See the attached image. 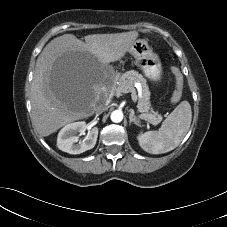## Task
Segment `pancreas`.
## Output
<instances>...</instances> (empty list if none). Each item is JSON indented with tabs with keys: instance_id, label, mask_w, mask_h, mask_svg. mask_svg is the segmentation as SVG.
I'll return each instance as SVG.
<instances>
[{
	"instance_id": "pancreas-1",
	"label": "pancreas",
	"mask_w": 227,
	"mask_h": 227,
	"mask_svg": "<svg viewBox=\"0 0 227 227\" xmlns=\"http://www.w3.org/2000/svg\"><path fill=\"white\" fill-rule=\"evenodd\" d=\"M115 81L118 82L114 89L115 95H121L119 92V88L121 87H133L135 82L140 83L141 85V96L138 99L137 108L138 111L141 113L140 117L153 125H157L161 122L162 116L159 115L157 112L150 111V91L149 87L146 83V79L143 77L142 74H139L135 70H130L125 72L122 75H117L115 77Z\"/></svg>"
}]
</instances>
